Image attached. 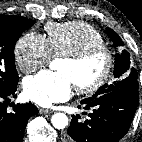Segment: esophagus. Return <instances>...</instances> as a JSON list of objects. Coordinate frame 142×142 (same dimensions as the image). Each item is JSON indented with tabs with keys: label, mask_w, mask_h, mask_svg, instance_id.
Segmentation results:
<instances>
[{
	"label": "esophagus",
	"mask_w": 142,
	"mask_h": 142,
	"mask_svg": "<svg viewBox=\"0 0 142 142\" xmlns=\"http://www.w3.org/2000/svg\"><path fill=\"white\" fill-rule=\"evenodd\" d=\"M39 113H40V114H50V113H52V111H51V110H48V109L40 108V109H39Z\"/></svg>",
	"instance_id": "esophagus-1"
}]
</instances>
